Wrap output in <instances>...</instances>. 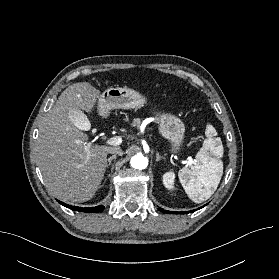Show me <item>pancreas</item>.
I'll list each match as a JSON object with an SVG mask.
<instances>
[{
	"label": "pancreas",
	"mask_w": 279,
	"mask_h": 279,
	"mask_svg": "<svg viewBox=\"0 0 279 279\" xmlns=\"http://www.w3.org/2000/svg\"><path fill=\"white\" fill-rule=\"evenodd\" d=\"M140 122H141V120H140L139 118H137V119H135V120L133 121L132 125L138 127L139 124H140Z\"/></svg>",
	"instance_id": "1"
}]
</instances>
